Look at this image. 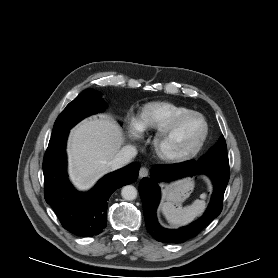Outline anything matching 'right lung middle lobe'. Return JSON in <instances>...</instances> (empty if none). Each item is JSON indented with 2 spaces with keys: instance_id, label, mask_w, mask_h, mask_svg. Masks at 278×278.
<instances>
[{
  "instance_id": "right-lung-middle-lobe-1",
  "label": "right lung middle lobe",
  "mask_w": 278,
  "mask_h": 278,
  "mask_svg": "<svg viewBox=\"0 0 278 278\" xmlns=\"http://www.w3.org/2000/svg\"><path fill=\"white\" fill-rule=\"evenodd\" d=\"M101 93L86 89L70 102L58 116L52 132V137L71 129L84 117L101 111L105 107Z\"/></svg>"
}]
</instances>
